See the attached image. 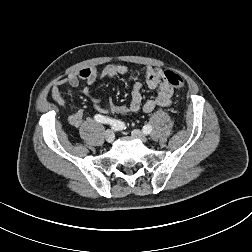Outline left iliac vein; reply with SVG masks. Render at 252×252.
I'll return each instance as SVG.
<instances>
[{"label":"left iliac vein","mask_w":252,"mask_h":252,"mask_svg":"<svg viewBox=\"0 0 252 252\" xmlns=\"http://www.w3.org/2000/svg\"><path fill=\"white\" fill-rule=\"evenodd\" d=\"M132 136L135 138H138L139 140H141L142 142H146L147 141V137L145 134H143L140 130L135 129L131 132Z\"/></svg>","instance_id":"4c4485c4"}]
</instances>
